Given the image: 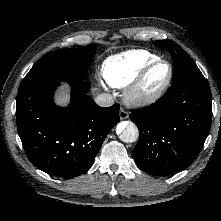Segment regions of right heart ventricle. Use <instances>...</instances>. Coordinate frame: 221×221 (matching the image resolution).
<instances>
[{
    "mask_svg": "<svg viewBox=\"0 0 221 221\" xmlns=\"http://www.w3.org/2000/svg\"><path fill=\"white\" fill-rule=\"evenodd\" d=\"M159 56L147 50H131L108 57L102 64L101 74L107 85L124 88L130 85L140 71Z\"/></svg>",
    "mask_w": 221,
    "mask_h": 221,
    "instance_id": "1",
    "label": "right heart ventricle"
}]
</instances>
